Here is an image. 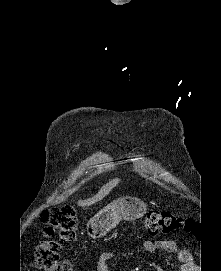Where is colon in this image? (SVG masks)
<instances>
[{
    "label": "colon",
    "mask_w": 221,
    "mask_h": 271,
    "mask_svg": "<svg viewBox=\"0 0 221 271\" xmlns=\"http://www.w3.org/2000/svg\"><path fill=\"white\" fill-rule=\"evenodd\" d=\"M39 219L46 225L44 232L47 240L38 244L34 250L38 269L72 271L69 262L60 258V252L67 242L74 241L77 237L76 211L69 205L48 207L41 211ZM144 225L149 234H157L159 231H191L196 228V223L191 218L157 209H152L146 214Z\"/></svg>",
    "instance_id": "1"
}]
</instances>
